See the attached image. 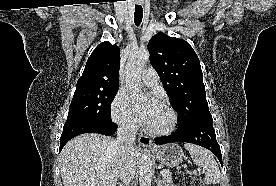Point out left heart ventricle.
Returning a JSON list of instances; mask_svg holds the SVG:
<instances>
[{
	"mask_svg": "<svg viewBox=\"0 0 276 186\" xmlns=\"http://www.w3.org/2000/svg\"><path fill=\"white\" fill-rule=\"evenodd\" d=\"M170 122V113L162 105H159L148 125V128L153 130L164 129L169 126Z\"/></svg>",
	"mask_w": 276,
	"mask_h": 186,
	"instance_id": "b2bd125f",
	"label": "left heart ventricle"
}]
</instances>
